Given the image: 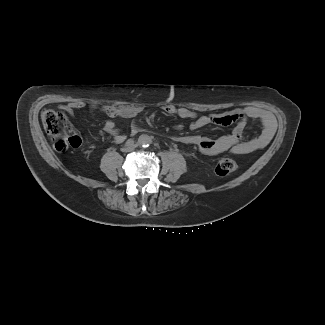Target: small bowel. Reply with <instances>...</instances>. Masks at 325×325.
I'll return each instance as SVG.
<instances>
[{
    "label": "small bowel",
    "mask_w": 325,
    "mask_h": 325,
    "mask_svg": "<svg viewBox=\"0 0 325 325\" xmlns=\"http://www.w3.org/2000/svg\"><path fill=\"white\" fill-rule=\"evenodd\" d=\"M82 107H84V103L73 102L64 105L63 109L68 114H72L75 110L81 109ZM161 110L166 115L190 120L188 125L182 123L174 124L172 129L178 132L184 130L193 131L211 124L219 126L234 125L230 134L216 139L200 135L173 136V140L182 144L192 145L196 147L198 151L211 155L223 152L243 155L263 149L269 144L275 132V121L273 115L264 109L254 106H246L234 109L227 113L214 115H200L196 111L184 107H177L173 104H164L161 107ZM102 111L110 117L104 121V131L110 136L113 142L123 143L126 140L127 135L118 128L117 124L111 118H134L141 112V109L132 106H106ZM250 119L259 121L262 130L255 137L248 139L245 136V128L247 121ZM140 131L141 128L139 125L136 122L132 123L130 135L134 136ZM78 139L80 140V143L74 148L79 147L81 144V139L79 137Z\"/></svg>",
    "instance_id": "obj_1"
}]
</instances>
